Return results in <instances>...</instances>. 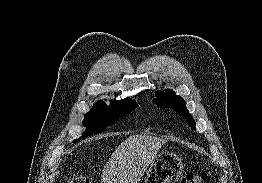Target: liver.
Wrapping results in <instances>:
<instances>
[{"mask_svg":"<svg viewBox=\"0 0 262 183\" xmlns=\"http://www.w3.org/2000/svg\"><path fill=\"white\" fill-rule=\"evenodd\" d=\"M167 141L131 135L113 152L102 170V183H138Z\"/></svg>","mask_w":262,"mask_h":183,"instance_id":"1","label":"liver"}]
</instances>
